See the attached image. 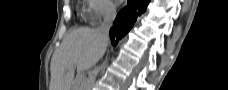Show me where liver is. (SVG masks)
<instances>
[{
  "mask_svg": "<svg viewBox=\"0 0 228 90\" xmlns=\"http://www.w3.org/2000/svg\"><path fill=\"white\" fill-rule=\"evenodd\" d=\"M107 43L96 29L84 27L72 31L52 56L49 90H71L75 67L91 68L104 55Z\"/></svg>",
  "mask_w": 228,
  "mask_h": 90,
  "instance_id": "obj_1",
  "label": "liver"
}]
</instances>
